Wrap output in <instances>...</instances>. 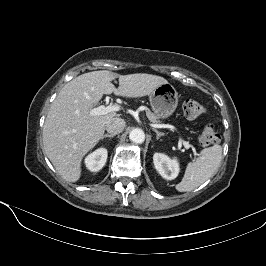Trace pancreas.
Returning a JSON list of instances; mask_svg holds the SVG:
<instances>
[{
  "label": "pancreas",
  "instance_id": "cf45deb5",
  "mask_svg": "<svg viewBox=\"0 0 266 266\" xmlns=\"http://www.w3.org/2000/svg\"><path fill=\"white\" fill-rule=\"evenodd\" d=\"M146 116L151 122H157V117L154 113H152L148 108H145Z\"/></svg>",
  "mask_w": 266,
  "mask_h": 266
}]
</instances>
